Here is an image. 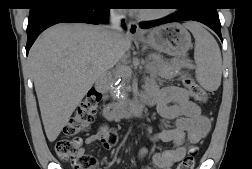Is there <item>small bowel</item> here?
<instances>
[{
	"mask_svg": "<svg viewBox=\"0 0 252 169\" xmlns=\"http://www.w3.org/2000/svg\"><path fill=\"white\" fill-rule=\"evenodd\" d=\"M144 97L156 103L158 112L164 121H175V128H168L161 123L160 131L151 139L154 143L170 142L174 144L172 150L156 152L152 157L154 164L160 169H171L210 133L211 122L201 114L200 107L190 100L189 93L185 89L174 86L159 88L154 81H151L146 87ZM108 135V127L101 125L95 134L86 138L85 143L88 146L100 143L104 149H110L113 145L108 141ZM82 152H84L83 149ZM147 153L148 149L142 148L139 158L143 159ZM90 169H95V164ZM143 169L151 168L146 166Z\"/></svg>",
	"mask_w": 252,
	"mask_h": 169,
	"instance_id": "1",
	"label": "small bowel"
}]
</instances>
